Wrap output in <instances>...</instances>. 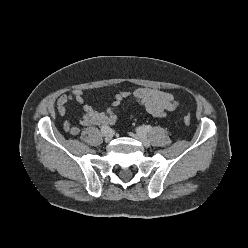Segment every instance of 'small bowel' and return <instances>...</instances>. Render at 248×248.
<instances>
[{"label": "small bowel", "instance_id": "c3829d8e", "mask_svg": "<svg viewBox=\"0 0 248 248\" xmlns=\"http://www.w3.org/2000/svg\"><path fill=\"white\" fill-rule=\"evenodd\" d=\"M127 99H133L142 105L146 112L154 117L165 118L168 112L177 111L180 108L173 92L162 91L151 88H137L133 91L118 92L113 96L111 105L104 111H99L91 105L85 104V93L83 90L74 89L68 94L61 95L57 101V111L64 116L70 103L75 102L82 105V115L79 124L82 126L112 125L117 119V112ZM64 130L76 136L80 133L77 125L66 121Z\"/></svg>", "mask_w": 248, "mask_h": 248}]
</instances>
